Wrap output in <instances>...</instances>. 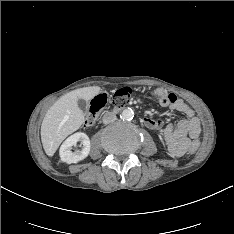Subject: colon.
Wrapping results in <instances>:
<instances>
[{
	"label": "colon",
	"mask_w": 234,
	"mask_h": 234,
	"mask_svg": "<svg viewBox=\"0 0 234 234\" xmlns=\"http://www.w3.org/2000/svg\"><path fill=\"white\" fill-rule=\"evenodd\" d=\"M131 94H132V89L130 87H124L117 90L110 99V105L112 107L126 106L130 101ZM147 96L149 98H159L160 94L157 91H149L147 92ZM107 102L108 98L104 93L96 95L91 100L89 113L84 122L85 127L93 125L97 116L99 115L101 110L106 106ZM202 145L203 142L201 140L198 139L193 140L191 145L188 146L187 151L184 152L183 154L184 159L186 160L191 159L192 154L195 153V151L198 150Z\"/></svg>",
	"instance_id": "colon-1"
}]
</instances>
